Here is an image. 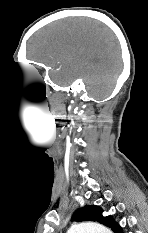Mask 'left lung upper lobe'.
Instances as JSON below:
<instances>
[{"instance_id": "left-lung-upper-lobe-1", "label": "left lung upper lobe", "mask_w": 148, "mask_h": 233, "mask_svg": "<svg viewBox=\"0 0 148 233\" xmlns=\"http://www.w3.org/2000/svg\"><path fill=\"white\" fill-rule=\"evenodd\" d=\"M102 212H103V210L99 206L86 205L83 208L77 210L74 213L72 219L77 220L79 222H81V221H95V222L101 223V224L111 228V230L114 233H122L121 227L113 220V218L111 216L104 217L102 215Z\"/></svg>"}]
</instances>
